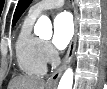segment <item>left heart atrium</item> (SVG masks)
<instances>
[{
    "mask_svg": "<svg viewBox=\"0 0 107 89\" xmlns=\"http://www.w3.org/2000/svg\"><path fill=\"white\" fill-rule=\"evenodd\" d=\"M74 33L72 17L68 12L58 14L53 24V45L58 49L65 48Z\"/></svg>",
    "mask_w": 107,
    "mask_h": 89,
    "instance_id": "1",
    "label": "left heart atrium"
}]
</instances>
